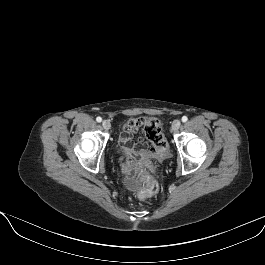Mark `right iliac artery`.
<instances>
[{
    "mask_svg": "<svg viewBox=\"0 0 265 265\" xmlns=\"http://www.w3.org/2000/svg\"><path fill=\"white\" fill-rule=\"evenodd\" d=\"M96 121L100 123L102 121V118L101 117H97Z\"/></svg>",
    "mask_w": 265,
    "mask_h": 265,
    "instance_id": "1",
    "label": "right iliac artery"
}]
</instances>
